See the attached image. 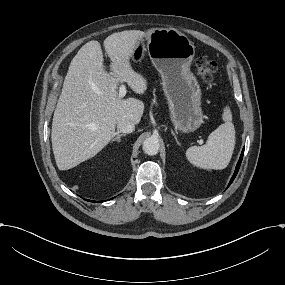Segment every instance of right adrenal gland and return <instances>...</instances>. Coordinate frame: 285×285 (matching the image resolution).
Segmentation results:
<instances>
[{"instance_id":"right-adrenal-gland-1","label":"right adrenal gland","mask_w":285,"mask_h":285,"mask_svg":"<svg viewBox=\"0 0 285 285\" xmlns=\"http://www.w3.org/2000/svg\"><path fill=\"white\" fill-rule=\"evenodd\" d=\"M123 136H126V134H117L116 135V137L111 141V143L113 144V143H115V142H117V143H120L121 142V137H123Z\"/></svg>"}]
</instances>
